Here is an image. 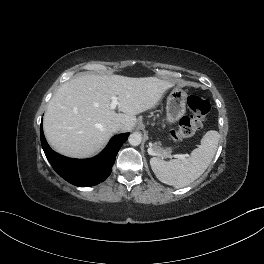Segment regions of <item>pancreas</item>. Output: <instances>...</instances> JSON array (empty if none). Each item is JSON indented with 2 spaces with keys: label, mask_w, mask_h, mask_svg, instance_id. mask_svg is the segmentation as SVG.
<instances>
[{
  "label": "pancreas",
  "mask_w": 264,
  "mask_h": 264,
  "mask_svg": "<svg viewBox=\"0 0 264 264\" xmlns=\"http://www.w3.org/2000/svg\"><path fill=\"white\" fill-rule=\"evenodd\" d=\"M153 150L157 155H165L166 154L165 150L157 144H154Z\"/></svg>",
  "instance_id": "1"
}]
</instances>
